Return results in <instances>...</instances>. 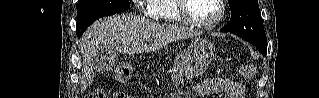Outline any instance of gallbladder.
<instances>
[{
	"label": "gallbladder",
	"mask_w": 319,
	"mask_h": 98,
	"mask_svg": "<svg viewBox=\"0 0 319 98\" xmlns=\"http://www.w3.org/2000/svg\"><path fill=\"white\" fill-rule=\"evenodd\" d=\"M119 55L114 50H100L92 60L94 70L99 73H107L118 63Z\"/></svg>",
	"instance_id": "1"
}]
</instances>
